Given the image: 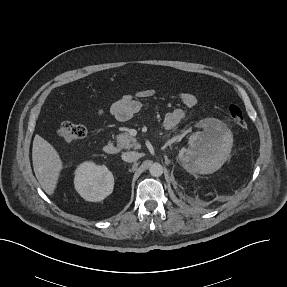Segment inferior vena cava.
Masks as SVG:
<instances>
[{"mask_svg": "<svg viewBox=\"0 0 287 287\" xmlns=\"http://www.w3.org/2000/svg\"><path fill=\"white\" fill-rule=\"evenodd\" d=\"M139 153L135 151L124 152L122 154V159L126 162H134L139 159Z\"/></svg>", "mask_w": 287, "mask_h": 287, "instance_id": "inferior-vena-cava-1", "label": "inferior vena cava"}]
</instances>
